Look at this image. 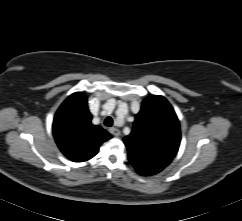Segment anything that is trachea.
I'll return each mask as SVG.
<instances>
[{
    "label": "trachea",
    "instance_id": "1",
    "mask_svg": "<svg viewBox=\"0 0 242 221\" xmlns=\"http://www.w3.org/2000/svg\"><path fill=\"white\" fill-rule=\"evenodd\" d=\"M105 126L111 127L113 125V119L109 116L104 121Z\"/></svg>",
    "mask_w": 242,
    "mask_h": 221
}]
</instances>
